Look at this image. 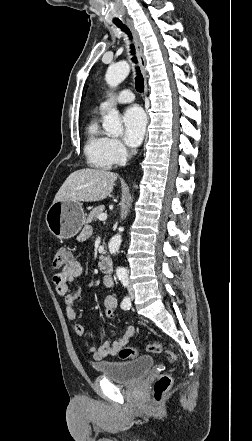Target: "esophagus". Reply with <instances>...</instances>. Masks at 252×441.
Masks as SVG:
<instances>
[{
  "label": "esophagus",
  "mask_w": 252,
  "mask_h": 441,
  "mask_svg": "<svg viewBox=\"0 0 252 441\" xmlns=\"http://www.w3.org/2000/svg\"><path fill=\"white\" fill-rule=\"evenodd\" d=\"M126 22H127V25L129 27L130 31L132 32V35H133V38H134V42H135V46H136V55H137V58H138V62H139V65H140L141 72H142V74H143V76L145 78L144 92H145V95H147V93H148V86H147V81H146V70H145L146 62H145V58H144V55H143V46H142L139 34H138L137 30L135 29L132 21L127 19Z\"/></svg>",
  "instance_id": "esophagus-1"
}]
</instances>
